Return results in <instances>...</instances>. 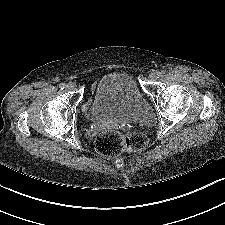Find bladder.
I'll return each instance as SVG.
<instances>
[{"label": "bladder", "instance_id": "obj_1", "mask_svg": "<svg viewBox=\"0 0 225 225\" xmlns=\"http://www.w3.org/2000/svg\"><path fill=\"white\" fill-rule=\"evenodd\" d=\"M90 119L97 123L117 120L151 124L154 114L133 77L124 72H114L97 81L91 101Z\"/></svg>", "mask_w": 225, "mask_h": 225}]
</instances>
